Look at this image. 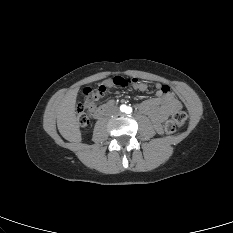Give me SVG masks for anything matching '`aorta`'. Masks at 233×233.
Here are the masks:
<instances>
[{
	"label": "aorta",
	"instance_id": "762f6f07",
	"mask_svg": "<svg viewBox=\"0 0 233 233\" xmlns=\"http://www.w3.org/2000/svg\"><path fill=\"white\" fill-rule=\"evenodd\" d=\"M128 109H129V107H126V106L121 107V111H123V112H127Z\"/></svg>",
	"mask_w": 233,
	"mask_h": 233
}]
</instances>
